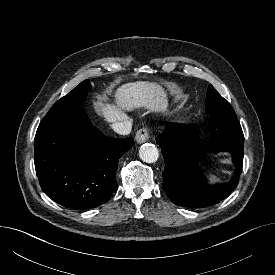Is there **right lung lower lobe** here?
Segmentation results:
<instances>
[{"instance_id":"right-lung-lower-lobe-1","label":"right lung lower lobe","mask_w":275,"mask_h":275,"mask_svg":"<svg viewBox=\"0 0 275 275\" xmlns=\"http://www.w3.org/2000/svg\"><path fill=\"white\" fill-rule=\"evenodd\" d=\"M131 137L116 139L93 127L82 107L44 118L35 139V169L43 192L67 208L85 210L106 203L117 190L120 157Z\"/></svg>"}]
</instances>
